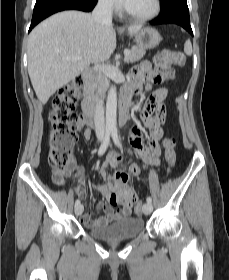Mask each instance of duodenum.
<instances>
[{
    "instance_id": "1",
    "label": "duodenum",
    "mask_w": 229,
    "mask_h": 280,
    "mask_svg": "<svg viewBox=\"0 0 229 280\" xmlns=\"http://www.w3.org/2000/svg\"><path fill=\"white\" fill-rule=\"evenodd\" d=\"M82 79L85 82V88L83 92V99L81 102V107L84 112L85 121L92 125L94 121V116L97 110V103L94 94V74L91 71H86L82 74ZM131 95L126 91H123L120 97V109H119V124L124 126L130 107Z\"/></svg>"
}]
</instances>
